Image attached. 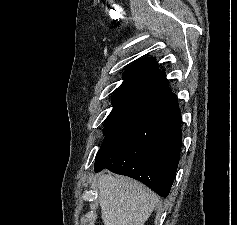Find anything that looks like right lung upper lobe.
I'll list each match as a JSON object with an SVG mask.
<instances>
[{"instance_id":"1","label":"right lung upper lobe","mask_w":237,"mask_h":225,"mask_svg":"<svg viewBox=\"0 0 237 225\" xmlns=\"http://www.w3.org/2000/svg\"><path fill=\"white\" fill-rule=\"evenodd\" d=\"M124 82L113 94V110L107 121L126 123L148 109L175 98L165 73L158 69L155 58H143L123 74Z\"/></svg>"}]
</instances>
